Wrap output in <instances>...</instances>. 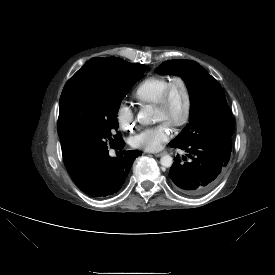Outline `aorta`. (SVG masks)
<instances>
[{
  "label": "aorta",
  "mask_w": 275,
  "mask_h": 275,
  "mask_svg": "<svg viewBox=\"0 0 275 275\" xmlns=\"http://www.w3.org/2000/svg\"><path fill=\"white\" fill-rule=\"evenodd\" d=\"M137 121L141 125H149L152 122H157L158 119L154 116V109L152 108V106H143L137 115ZM160 164L163 167H171V165L173 164V158L168 154L163 155L160 159Z\"/></svg>",
  "instance_id": "aorta-1"
}]
</instances>
